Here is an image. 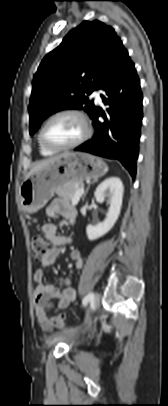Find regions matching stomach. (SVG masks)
I'll return each mask as SVG.
<instances>
[{
	"instance_id": "stomach-1",
	"label": "stomach",
	"mask_w": 168,
	"mask_h": 406,
	"mask_svg": "<svg viewBox=\"0 0 168 406\" xmlns=\"http://www.w3.org/2000/svg\"><path fill=\"white\" fill-rule=\"evenodd\" d=\"M54 165L26 177L20 187L21 206L27 213L42 208L59 188L84 180L98 179L108 171L98 157L87 153H64Z\"/></svg>"
}]
</instances>
